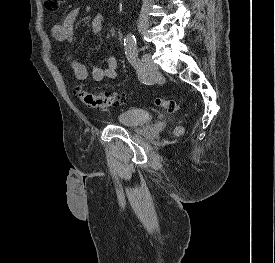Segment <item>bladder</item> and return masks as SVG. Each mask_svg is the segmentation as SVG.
Here are the masks:
<instances>
[{
    "label": "bladder",
    "mask_w": 275,
    "mask_h": 263,
    "mask_svg": "<svg viewBox=\"0 0 275 263\" xmlns=\"http://www.w3.org/2000/svg\"><path fill=\"white\" fill-rule=\"evenodd\" d=\"M121 125L128 128L138 127L149 123L152 120V114L142 109H128L119 114Z\"/></svg>",
    "instance_id": "bladder-1"
}]
</instances>
